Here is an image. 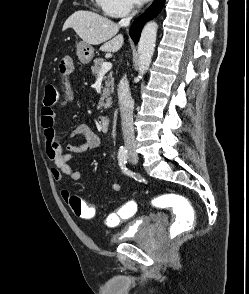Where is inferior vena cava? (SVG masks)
<instances>
[{
  "instance_id": "inferior-vena-cava-1",
  "label": "inferior vena cava",
  "mask_w": 249,
  "mask_h": 294,
  "mask_svg": "<svg viewBox=\"0 0 249 294\" xmlns=\"http://www.w3.org/2000/svg\"><path fill=\"white\" fill-rule=\"evenodd\" d=\"M136 3L140 5L138 1H136ZM135 13L136 11H133V13L130 16L121 19L119 22V25L122 27H127L130 24V21ZM117 91H118V100H119V106H120V112H121V125H122L124 144L128 148H133L135 147V137H134V128H133L134 101L131 97L129 83L126 76H124L120 80Z\"/></svg>"
}]
</instances>
